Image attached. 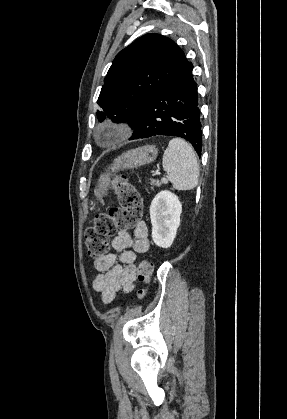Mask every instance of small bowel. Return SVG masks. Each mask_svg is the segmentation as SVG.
Masks as SVG:
<instances>
[{"instance_id": "c3829d8e", "label": "small bowel", "mask_w": 287, "mask_h": 419, "mask_svg": "<svg viewBox=\"0 0 287 419\" xmlns=\"http://www.w3.org/2000/svg\"><path fill=\"white\" fill-rule=\"evenodd\" d=\"M111 246L113 253L94 262L99 273L93 280V287L101 293L106 304L112 302L118 292L128 293L134 288L137 255L149 249L147 224L142 221L132 231L119 232ZM115 253H119V263Z\"/></svg>"}]
</instances>
